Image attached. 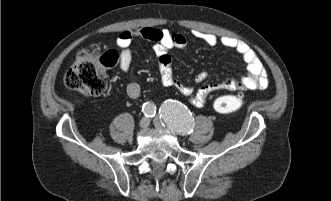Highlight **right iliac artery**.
Listing matches in <instances>:
<instances>
[{
  "label": "right iliac artery",
  "mask_w": 331,
  "mask_h": 201,
  "mask_svg": "<svg viewBox=\"0 0 331 201\" xmlns=\"http://www.w3.org/2000/svg\"><path fill=\"white\" fill-rule=\"evenodd\" d=\"M142 111L146 117H153L156 114V106L151 102L143 104Z\"/></svg>",
  "instance_id": "right-iliac-artery-1"
}]
</instances>
